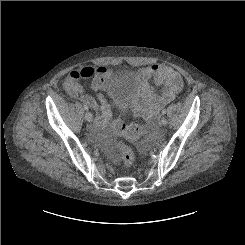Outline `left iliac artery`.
Returning <instances> with one entry per match:
<instances>
[{
	"instance_id": "left-iliac-artery-1",
	"label": "left iliac artery",
	"mask_w": 245,
	"mask_h": 245,
	"mask_svg": "<svg viewBox=\"0 0 245 245\" xmlns=\"http://www.w3.org/2000/svg\"><path fill=\"white\" fill-rule=\"evenodd\" d=\"M162 114H163V115L166 114V109H163V110H162Z\"/></svg>"
}]
</instances>
